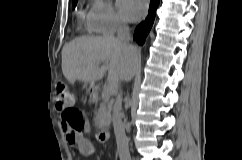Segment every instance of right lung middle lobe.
<instances>
[{
    "mask_svg": "<svg viewBox=\"0 0 242 160\" xmlns=\"http://www.w3.org/2000/svg\"><path fill=\"white\" fill-rule=\"evenodd\" d=\"M72 3H73V7H75L76 3H77V0H73Z\"/></svg>",
    "mask_w": 242,
    "mask_h": 160,
    "instance_id": "right-lung-middle-lobe-1",
    "label": "right lung middle lobe"
}]
</instances>
